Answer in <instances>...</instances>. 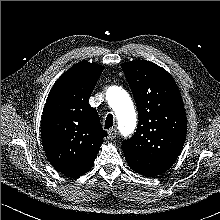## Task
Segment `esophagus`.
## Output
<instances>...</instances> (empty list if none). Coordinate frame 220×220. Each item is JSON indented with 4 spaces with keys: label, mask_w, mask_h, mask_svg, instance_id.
Here are the masks:
<instances>
[{
    "label": "esophagus",
    "mask_w": 220,
    "mask_h": 220,
    "mask_svg": "<svg viewBox=\"0 0 220 220\" xmlns=\"http://www.w3.org/2000/svg\"><path fill=\"white\" fill-rule=\"evenodd\" d=\"M117 135V129L116 128H111L108 130V137L109 139L113 140Z\"/></svg>",
    "instance_id": "esophagus-1"
}]
</instances>
